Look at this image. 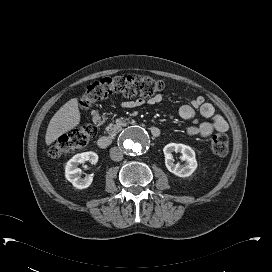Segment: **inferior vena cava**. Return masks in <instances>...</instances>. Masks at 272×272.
Segmentation results:
<instances>
[{
	"label": "inferior vena cava",
	"instance_id": "1",
	"mask_svg": "<svg viewBox=\"0 0 272 272\" xmlns=\"http://www.w3.org/2000/svg\"><path fill=\"white\" fill-rule=\"evenodd\" d=\"M110 158L113 161H121L123 159V153L117 147H113L110 149Z\"/></svg>",
	"mask_w": 272,
	"mask_h": 272
}]
</instances>
